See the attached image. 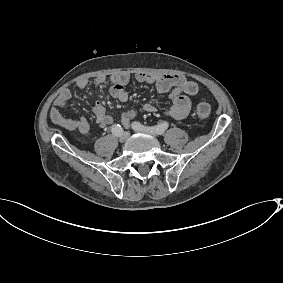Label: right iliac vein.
<instances>
[{
  "mask_svg": "<svg viewBox=\"0 0 283 283\" xmlns=\"http://www.w3.org/2000/svg\"><path fill=\"white\" fill-rule=\"evenodd\" d=\"M129 137V133L128 132H123L120 136H119V141L120 142H125Z\"/></svg>",
  "mask_w": 283,
  "mask_h": 283,
  "instance_id": "obj_1",
  "label": "right iliac vein"
}]
</instances>
